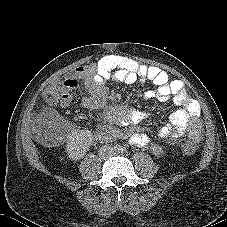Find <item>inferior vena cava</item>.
Returning a JSON list of instances; mask_svg holds the SVG:
<instances>
[{
  "instance_id": "inferior-vena-cava-1",
  "label": "inferior vena cava",
  "mask_w": 227,
  "mask_h": 227,
  "mask_svg": "<svg viewBox=\"0 0 227 227\" xmlns=\"http://www.w3.org/2000/svg\"><path fill=\"white\" fill-rule=\"evenodd\" d=\"M104 149H105V147L100 148V154L103 153V150H104Z\"/></svg>"
}]
</instances>
